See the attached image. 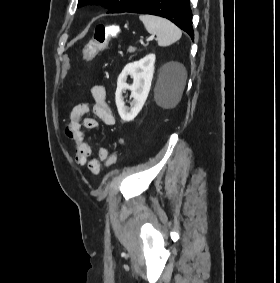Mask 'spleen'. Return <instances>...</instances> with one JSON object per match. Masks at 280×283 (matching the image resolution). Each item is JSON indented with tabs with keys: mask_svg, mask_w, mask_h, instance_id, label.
Segmentation results:
<instances>
[{
	"mask_svg": "<svg viewBox=\"0 0 280 283\" xmlns=\"http://www.w3.org/2000/svg\"><path fill=\"white\" fill-rule=\"evenodd\" d=\"M139 19L143 22L146 30L157 36L159 46H169L178 41L181 36V30L172 22L165 18L153 15H140ZM186 82V71L182 69V79L180 88L183 89Z\"/></svg>",
	"mask_w": 280,
	"mask_h": 283,
	"instance_id": "1",
	"label": "spleen"
}]
</instances>
